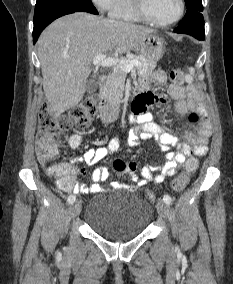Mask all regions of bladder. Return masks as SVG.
Here are the masks:
<instances>
[{
	"label": "bladder",
	"instance_id": "obj_1",
	"mask_svg": "<svg viewBox=\"0 0 233 284\" xmlns=\"http://www.w3.org/2000/svg\"><path fill=\"white\" fill-rule=\"evenodd\" d=\"M153 210L149 201L137 193L118 198L98 196L89 203L84 221L99 236L125 241L141 235L150 225Z\"/></svg>",
	"mask_w": 233,
	"mask_h": 284
}]
</instances>
